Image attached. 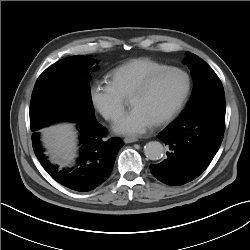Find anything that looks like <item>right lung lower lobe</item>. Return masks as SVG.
<instances>
[{"instance_id":"right-lung-lower-lobe-1","label":"right lung lower lobe","mask_w":250,"mask_h":250,"mask_svg":"<svg viewBox=\"0 0 250 250\" xmlns=\"http://www.w3.org/2000/svg\"><path fill=\"white\" fill-rule=\"evenodd\" d=\"M76 123L81 148L75 167L59 169L48 161L40 144V131L33 132L32 145L41 165L54 180L74 191L87 192L109 177L117 153L124 143L117 137L104 140L107 131L96 119Z\"/></svg>"}]
</instances>
